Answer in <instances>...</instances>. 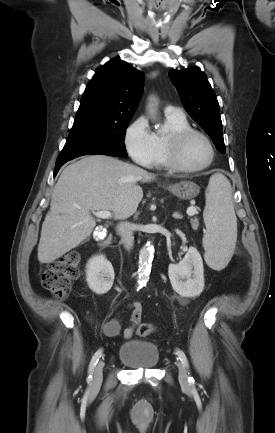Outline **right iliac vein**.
Wrapping results in <instances>:
<instances>
[{
    "instance_id": "right-iliac-vein-1",
    "label": "right iliac vein",
    "mask_w": 275,
    "mask_h": 433,
    "mask_svg": "<svg viewBox=\"0 0 275 433\" xmlns=\"http://www.w3.org/2000/svg\"><path fill=\"white\" fill-rule=\"evenodd\" d=\"M103 380V362H99L95 368L93 376V387H99Z\"/></svg>"
}]
</instances>
